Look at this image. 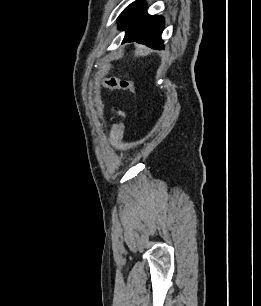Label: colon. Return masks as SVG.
I'll list each match as a JSON object with an SVG mask.
<instances>
[{
  "label": "colon",
  "mask_w": 261,
  "mask_h": 306,
  "mask_svg": "<svg viewBox=\"0 0 261 306\" xmlns=\"http://www.w3.org/2000/svg\"><path fill=\"white\" fill-rule=\"evenodd\" d=\"M105 87L109 89H118V90H128L132 92H136L137 88L131 81L125 79H119L116 77H109L104 80ZM114 115L116 122L113 126L111 132V139L114 142L120 140L124 133V120L126 118V114L119 109L114 110Z\"/></svg>",
  "instance_id": "5ec220e1"
}]
</instances>
